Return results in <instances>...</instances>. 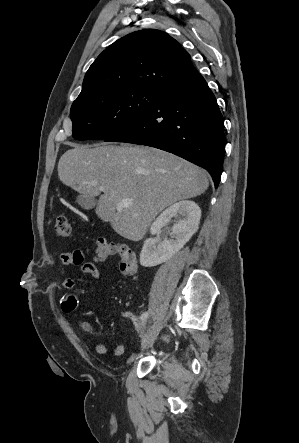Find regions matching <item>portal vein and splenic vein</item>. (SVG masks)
I'll return each instance as SVG.
<instances>
[{
	"instance_id": "18ae733b",
	"label": "portal vein and splenic vein",
	"mask_w": 299,
	"mask_h": 443,
	"mask_svg": "<svg viewBox=\"0 0 299 443\" xmlns=\"http://www.w3.org/2000/svg\"><path fill=\"white\" fill-rule=\"evenodd\" d=\"M100 191H105V189L103 188V187H100ZM133 204V200L132 199H122L119 203H118V206H117V208L118 209H122V208H126V207H129V206H131Z\"/></svg>"
}]
</instances>
